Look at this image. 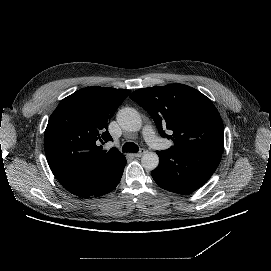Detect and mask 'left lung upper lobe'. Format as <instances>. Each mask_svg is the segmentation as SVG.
Masks as SVG:
<instances>
[{
    "label": "left lung upper lobe",
    "mask_w": 271,
    "mask_h": 271,
    "mask_svg": "<svg viewBox=\"0 0 271 271\" xmlns=\"http://www.w3.org/2000/svg\"><path fill=\"white\" fill-rule=\"evenodd\" d=\"M130 98L149 113L162 137L174 141L171 149L222 155V119L212 101L198 90L169 84L136 90ZM165 128L173 135H167Z\"/></svg>",
    "instance_id": "1"
}]
</instances>
